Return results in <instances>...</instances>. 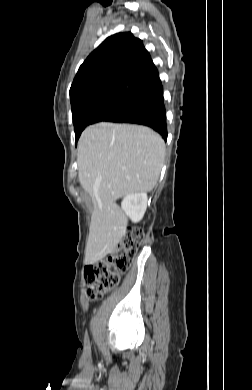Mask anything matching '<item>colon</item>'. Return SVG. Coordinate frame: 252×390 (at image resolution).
<instances>
[{
	"label": "colon",
	"instance_id": "obj_1",
	"mask_svg": "<svg viewBox=\"0 0 252 390\" xmlns=\"http://www.w3.org/2000/svg\"><path fill=\"white\" fill-rule=\"evenodd\" d=\"M142 240L143 232L134 229L121 239L113 254L85 268L86 290L91 300L101 298L117 286L121 274L127 271L134 261Z\"/></svg>",
	"mask_w": 252,
	"mask_h": 390
}]
</instances>
